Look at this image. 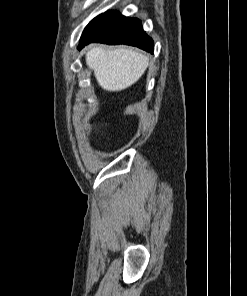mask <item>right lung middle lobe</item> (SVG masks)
Returning <instances> with one entry per match:
<instances>
[{
  "mask_svg": "<svg viewBox=\"0 0 247 296\" xmlns=\"http://www.w3.org/2000/svg\"><path fill=\"white\" fill-rule=\"evenodd\" d=\"M99 16H100V15H99ZM99 16H97L96 18H94L91 22H93L94 20H96ZM91 22H90V23H91ZM85 36H86V28H85V30H84L82 36H81L80 42L85 38Z\"/></svg>",
  "mask_w": 247,
  "mask_h": 296,
  "instance_id": "1",
  "label": "right lung middle lobe"
}]
</instances>
